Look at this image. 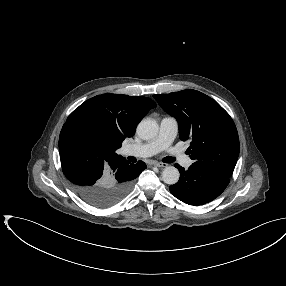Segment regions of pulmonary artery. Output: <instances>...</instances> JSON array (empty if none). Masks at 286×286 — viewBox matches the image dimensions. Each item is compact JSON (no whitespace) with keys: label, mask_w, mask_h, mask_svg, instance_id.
<instances>
[{"label":"pulmonary artery","mask_w":286,"mask_h":286,"mask_svg":"<svg viewBox=\"0 0 286 286\" xmlns=\"http://www.w3.org/2000/svg\"><path fill=\"white\" fill-rule=\"evenodd\" d=\"M177 133V119L172 116H165L160 121L159 132L155 138L144 143L129 145L125 148V153L135 157H150L166 150L170 152L182 166L189 167L191 165L190 158L171 147Z\"/></svg>","instance_id":"obj_1"}]
</instances>
